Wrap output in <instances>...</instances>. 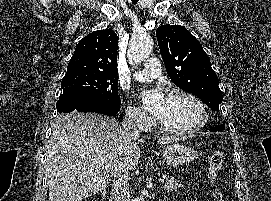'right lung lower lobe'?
Segmentation results:
<instances>
[{
	"mask_svg": "<svg viewBox=\"0 0 271 201\" xmlns=\"http://www.w3.org/2000/svg\"><path fill=\"white\" fill-rule=\"evenodd\" d=\"M120 97L114 100L88 99L81 96H60L56 103L59 113L72 111L95 112L105 115H116L120 110Z\"/></svg>",
	"mask_w": 271,
	"mask_h": 201,
	"instance_id": "98d812e1",
	"label": "right lung lower lobe"
}]
</instances>
